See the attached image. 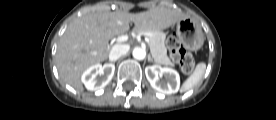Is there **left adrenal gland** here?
<instances>
[{"instance_id":"a2214340","label":"left adrenal gland","mask_w":276,"mask_h":120,"mask_svg":"<svg viewBox=\"0 0 276 120\" xmlns=\"http://www.w3.org/2000/svg\"><path fill=\"white\" fill-rule=\"evenodd\" d=\"M148 61H149V62H154V60H153V58L151 57L150 54L148 55Z\"/></svg>"}]
</instances>
